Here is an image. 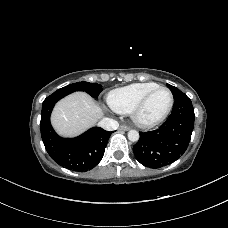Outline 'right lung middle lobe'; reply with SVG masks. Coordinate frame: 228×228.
<instances>
[{
    "label": "right lung middle lobe",
    "instance_id": "dd1d6c3e",
    "mask_svg": "<svg viewBox=\"0 0 228 228\" xmlns=\"http://www.w3.org/2000/svg\"><path fill=\"white\" fill-rule=\"evenodd\" d=\"M75 91H85L86 93L90 94L93 98H97L100 92L102 91V86L97 83H89L82 81L67 85L61 89H58L54 92L57 95L66 96Z\"/></svg>",
    "mask_w": 228,
    "mask_h": 228
}]
</instances>
